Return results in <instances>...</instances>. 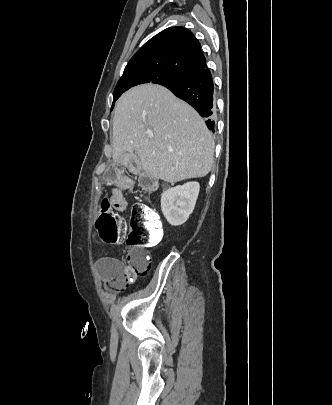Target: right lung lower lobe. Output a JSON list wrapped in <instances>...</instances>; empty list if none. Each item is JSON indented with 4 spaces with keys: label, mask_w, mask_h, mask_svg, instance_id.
I'll return each instance as SVG.
<instances>
[{
    "label": "right lung lower lobe",
    "mask_w": 332,
    "mask_h": 405,
    "mask_svg": "<svg viewBox=\"0 0 332 405\" xmlns=\"http://www.w3.org/2000/svg\"><path fill=\"white\" fill-rule=\"evenodd\" d=\"M166 88L178 98L189 103L202 117L208 118L207 127L213 132L215 131V122L210 119L216 108L214 84L207 68L188 75Z\"/></svg>",
    "instance_id": "1"
}]
</instances>
